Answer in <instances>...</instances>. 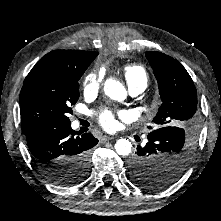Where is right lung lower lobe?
Returning <instances> with one entry per match:
<instances>
[{
	"label": "right lung lower lobe",
	"mask_w": 221,
	"mask_h": 221,
	"mask_svg": "<svg viewBox=\"0 0 221 221\" xmlns=\"http://www.w3.org/2000/svg\"><path fill=\"white\" fill-rule=\"evenodd\" d=\"M75 134L71 123L45 124L25 133L33 161L49 180L65 181L71 178L62 173L66 162L78 156L87 159L90 156V149L98 143L90 133L74 137ZM78 182L80 181H69L61 185H73Z\"/></svg>",
	"instance_id": "1"
}]
</instances>
